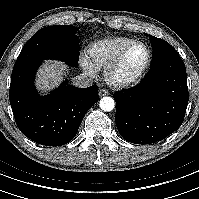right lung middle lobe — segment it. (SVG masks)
Here are the masks:
<instances>
[{
	"instance_id": "1",
	"label": "right lung middle lobe",
	"mask_w": 199,
	"mask_h": 199,
	"mask_svg": "<svg viewBox=\"0 0 199 199\" xmlns=\"http://www.w3.org/2000/svg\"><path fill=\"white\" fill-rule=\"evenodd\" d=\"M77 28L72 25H55L40 29L24 45L13 70L36 61L58 59L76 66L79 58Z\"/></svg>"
}]
</instances>
